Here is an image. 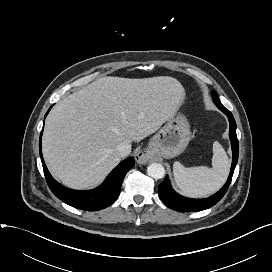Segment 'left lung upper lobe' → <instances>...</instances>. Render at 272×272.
<instances>
[{
    "mask_svg": "<svg viewBox=\"0 0 272 272\" xmlns=\"http://www.w3.org/2000/svg\"><path fill=\"white\" fill-rule=\"evenodd\" d=\"M212 95H213V99H219L218 94L216 92H213Z\"/></svg>",
    "mask_w": 272,
    "mask_h": 272,
    "instance_id": "obj_1",
    "label": "left lung upper lobe"
}]
</instances>
